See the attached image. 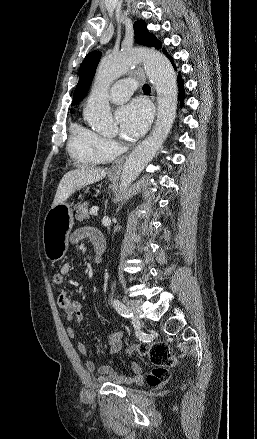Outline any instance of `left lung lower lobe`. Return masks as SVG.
<instances>
[{
	"mask_svg": "<svg viewBox=\"0 0 257 439\" xmlns=\"http://www.w3.org/2000/svg\"><path fill=\"white\" fill-rule=\"evenodd\" d=\"M163 52L165 53V55L169 58V60L171 61V63H172V65L174 66V69L176 70V67H175V65H174V61H173V58L169 55V54H167L164 50H163ZM178 87H179V98H180V100L181 101H183V99L185 98V96H184V89H183V81L181 80V76L179 75L178 76ZM183 104H182V102H181V106H182Z\"/></svg>",
	"mask_w": 257,
	"mask_h": 439,
	"instance_id": "1",
	"label": "left lung lower lobe"
}]
</instances>
